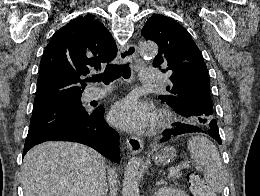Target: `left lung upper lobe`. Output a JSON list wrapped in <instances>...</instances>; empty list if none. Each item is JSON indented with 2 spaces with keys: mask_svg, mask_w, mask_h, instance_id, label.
<instances>
[{
  "mask_svg": "<svg viewBox=\"0 0 260 196\" xmlns=\"http://www.w3.org/2000/svg\"><path fill=\"white\" fill-rule=\"evenodd\" d=\"M142 35L159 46L153 65L172 73V84L159 99L183 116L185 122L207 131L215 120V112L204 116L190 113L199 108L213 111L207 67L190 34L175 20L156 14L147 20Z\"/></svg>",
  "mask_w": 260,
  "mask_h": 196,
  "instance_id": "left-lung-upper-lobe-1",
  "label": "left lung upper lobe"
}]
</instances>
